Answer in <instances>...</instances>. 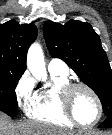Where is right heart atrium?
Wrapping results in <instances>:
<instances>
[{
    "label": "right heart atrium",
    "mask_w": 112,
    "mask_h": 135,
    "mask_svg": "<svg viewBox=\"0 0 112 135\" xmlns=\"http://www.w3.org/2000/svg\"><path fill=\"white\" fill-rule=\"evenodd\" d=\"M15 98L18 106L25 112L31 106L35 96V82L28 73H24L15 86Z\"/></svg>",
    "instance_id": "obj_1"
}]
</instances>
